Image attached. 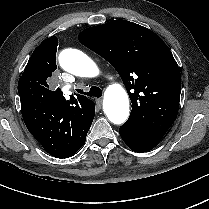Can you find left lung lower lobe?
<instances>
[{
	"label": "left lung lower lobe",
	"mask_w": 209,
	"mask_h": 209,
	"mask_svg": "<svg viewBox=\"0 0 209 209\" xmlns=\"http://www.w3.org/2000/svg\"><path fill=\"white\" fill-rule=\"evenodd\" d=\"M119 133L126 145L135 152H146L158 145L161 138L152 136L140 127L125 123Z\"/></svg>",
	"instance_id": "1"
}]
</instances>
